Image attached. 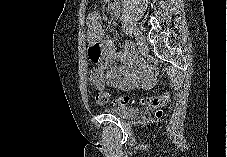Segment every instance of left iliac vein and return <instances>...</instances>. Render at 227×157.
<instances>
[{"label": "left iliac vein", "instance_id": "4c4485c4", "mask_svg": "<svg viewBox=\"0 0 227 157\" xmlns=\"http://www.w3.org/2000/svg\"><path fill=\"white\" fill-rule=\"evenodd\" d=\"M138 37H136L138 48L141 54L145 55L148 53V46L143 38V36L139 33H137Z\"/></svg>", "mask_w": 227, "mask_h": 157}]
</instances>
